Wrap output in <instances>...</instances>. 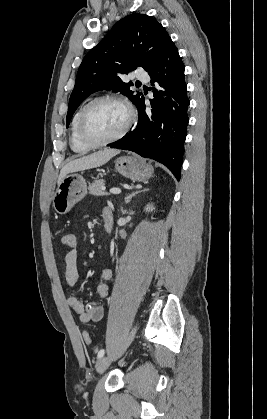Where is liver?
Returning <instances> with one entry per match:
<instances>
[{
	"instance_id": "1",
	"label": "liver",
	"mask_w": 267,
	"mask_h": 419,
	"mask_svg": "<svg viewBox=\"0 0 267 419\" xmlns=\"http://www.w3.org/2000/svg\"><path fill=\"white\" fill-rule=\"evenodd\" d=\"M120 153L117 149H104L94 152L90 155L83 156L68 162L60 171L58 183L68 174L72 172L82 171L86 169L100 167L106 164L113 156Z\"/></svg>"
}]
</instances>
